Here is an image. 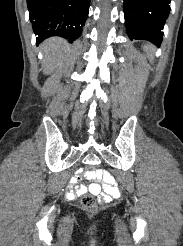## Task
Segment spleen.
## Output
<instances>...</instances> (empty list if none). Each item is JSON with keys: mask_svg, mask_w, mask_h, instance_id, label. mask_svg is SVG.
Returning <instances> with one entry per match:
<instances>
[{"mask_svg": "<svg viewBox=\"0 0 183 246\" xmlns=\"http://www.w3.org/2000/svg\"><path fill=\"white\" fill-rule=\"evenodd\" d=\"M144 49H145V51L148 53V55H149L150 57L153 56V47H152V46H150V45H145V46H144Z\"/></svg>", "mask_w": 183, "mask_h": 246, "instance_id": "3e777b00", "label": "spleen"}]
</instances>
